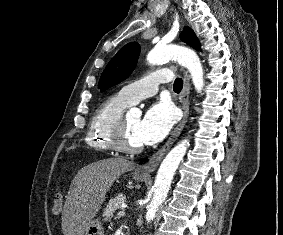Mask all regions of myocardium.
I'll return each instance as SVG.
<instances>
[{"instance_id": "obj_1", "label": "myocardium", "mask_w": 283, "mask_h": 235, "mask_svg": "<svg viewBox=\"0 0 283 235\" xmlns=\"http://www.w3.org/2000/svg\"><path fill=\"white\" fill-rule=\"evenodd\" d=\"M112 143L115 150L125 154H137L143 150V145L133 146L127 141L125 117L121 116L115 123L111 132Z\"/></svg>"}]
</instances>
